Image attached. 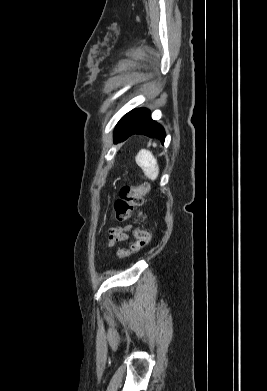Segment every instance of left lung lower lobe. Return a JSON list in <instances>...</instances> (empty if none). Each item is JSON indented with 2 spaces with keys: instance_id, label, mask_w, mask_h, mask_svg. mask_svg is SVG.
<instances>
[{
  "instance_id": "left-lung-lower-lobe-1",
  "label": "left lung lower lobe",
  "mask_w": 267,
  "mask_h": 391,
  "mask_svg": "<svg viewBox=\"0 0 267 391\" xmlns=\"http://www.w3.org/2000/svg\"><path fill=\"white\" fill-rule=\"evenodd\" d=\"M132 134L157 138L162 143L165 139L163 127L153 121L150 112L144 108L134 109L121 118L114 131V142L124 141Z\"/></svg>"
}]
</instances>
